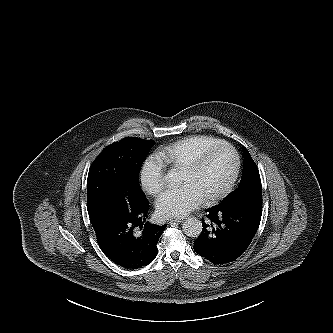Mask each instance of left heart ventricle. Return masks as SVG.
<instances>
[{"instance_id":"obj_1","label":"left heart ventricle","mask_w":333,"mask_h":333,"mask_svg":"<svg viewBox=\"0 0 333 333\" xmlns=\"http://www.w3.org/2000/svg\"><path fill=\"white\" fill-rule=\"evenodd\" d=\"M234 168L235 156L233 152L231 149L223 147L212 153L195 173L180 172L179 184L191 185L205 199L225 186Z\"/></svg>"}]
</instances>
